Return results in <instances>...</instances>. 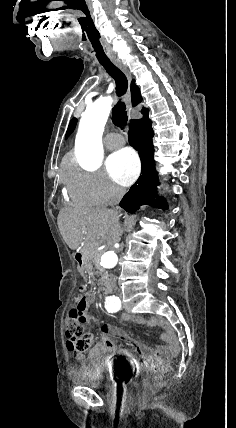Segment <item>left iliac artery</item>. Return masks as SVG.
<instances>
[{
  "label": "left iliac artery",
  "mask_w": 236,
  "mask_h": 428,
  "mask_svg": "<svg viewBox=\"0 0 236 428\" xmlns=\"http://www.w3.org/2000/svg\"><path fill=\"white\" fill-rule=\"evenodd\" d=\"M105 308L109 313L119 311L121 308V301L119 297H116L114 295L106 297Z\"/></svg>",
  "instance_id": "left-iliac-artery-1"
}]
</instances>
